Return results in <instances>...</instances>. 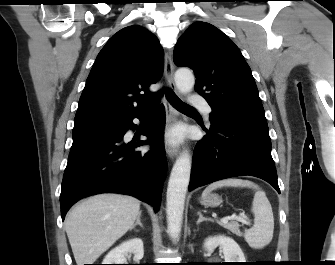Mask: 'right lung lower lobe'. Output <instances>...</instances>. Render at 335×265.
Wrapping results in <instances>:
<instances>
[{"instance_id":"1","label":"right lung lower lobe","mask_w":335,"mask_h":265,"mask_svg":"<svg viewBox=\"0 0 335 265\" xmlns=\"http://www.w3.org/2000/svg\"><path fill=\"white\" fill-rule=\"evenodd\" d=\"M134 118L141 115L119 121L109 131L73 138L60 194L62 220L78 200L106 192L134 196L158 211L167 167L164 107L156 105L142 133L148 140H124L136 127ZM146 144H151L148 151L138 150Z\"/></svg>"}]
</instances>
